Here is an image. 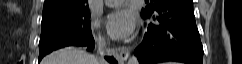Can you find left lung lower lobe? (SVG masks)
Wrapping results in <instances>:
<instances>
[{
	"instance_id": "0a47b994",
	"label": "left lung lower lobe",
	"mask_w": 242,
	"mask_h": 64,
	"mask_svg": "<svg viewBox=\"0 0 242 64\" xmlns=\"http://www.w3.org/2000/svg\"><path fill=\"white\" fill-rule=\"evenodd\" d=\"M141 16L154 21L148 25L142 43L135 50L140 64L168 61L202 64L203 46L193 0H164Z\"/></svg>"
}]
</instances>
